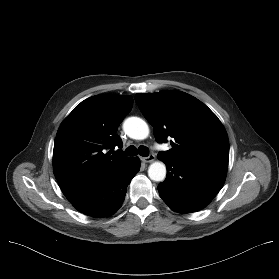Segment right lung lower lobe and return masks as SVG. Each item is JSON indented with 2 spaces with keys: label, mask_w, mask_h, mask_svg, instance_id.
Here are the masks:
<instances>
[{
  "label": "right lung lower lobe",
  "mask_w": 279,
  "mask_h": 279,
  "mask_svg": "<svg viewBox=\"0 0 279 279\" xmlns=\"http://www.w3.org/2000/svg\"><path fill=\"white\" fill-rule=\"evenodd\" d=\"M140 169L138 157L108 178L90 186L65 193L71 204L81 213L106 217L115 213L126 195V187Z\"/></svg>",
  "instance_id": "98d812e1"
}]
</instances>
